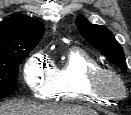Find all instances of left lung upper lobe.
Returning <instances> with one entry per match:
<instances>
[{
  "instance_id": "1",
  "label": "left lung upper lobe",
  "mask_w": 131,
  "mask_h": 115,
  "mask_svg": "<svg viewBox=\"0 0 131 115\" xmlns=\"http://www.w3.org/2000/svg\"><path fill=\"white\" fill-rule=\"evenodd\" d=\"M76 25L85 40L90 42L97 50L105 54L121 69L125 68L123 49L107 28L91 24L81 15L77 16Z\"/></svg>"
}]
</instances>
